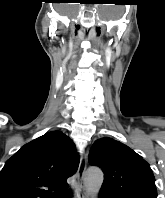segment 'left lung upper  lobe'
Masks as SVG:
<instances>
[{
	"mask_svg": "<svg viewBox=\"0 0 165 198\" xmlns=\"http://www.w3.org/2000/svg\"><path fill=\"white\" fill-rule=\"evenodd\" d=\"M89 163L104 172L101 190L116 198H157L149 164L123 143L108 137L95 141L89 152Z\"/></svg>",
	"mask_w": 165,
	"mask_h": 198,
	"instance_id": "left-lung-upper-lobe-1",
	"label": "left lung upper lobe"
}]
</instances>
